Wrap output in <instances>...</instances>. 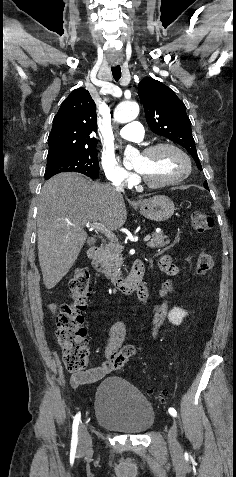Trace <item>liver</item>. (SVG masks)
I'll use <instances>...</instances> for the list:
<instances>
[{
  "instance_id": "liver-1",
  "label": "liver",
  "mask_w": 236,
  "mask_h": 477,
  "mask_svg": "<svg viewBox=\"0 0 236 477\" xmlns=\"http://www.w3.org/2000/svg\"><path fill=\"white\" fill-rule=\"evenodd\" d=\"M126 218L123 197L111 185L79 173H61L45 182L38 203L37 243L46 288H54L75 263L87 239V223L116 230Z\"/></svg>"
}]
</instances>
